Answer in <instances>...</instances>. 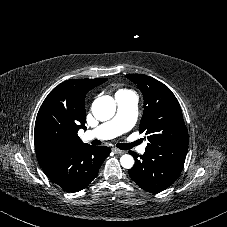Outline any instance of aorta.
Listing matches in <instances>:
<instances>
[{
  "label": "aorta",
  "mask_w": 227,
  "mask_h": 227,
  "mask_svg": "<svg viewBox=\"0 0 227 227\" xmlns=\"http://www.w3.org/2000/svg\"><path fill=\"white\" fill-rule=\"evenodd\" d=\"M91 109L97 120L107 121L114 116L116 112V103L110 96H101L94 100ZM120 163L123 168L130 169L134 165V159L131 155L125 154L121 156Z\"/></svg>",
  "instance_id": "1"
}]
</instances>
